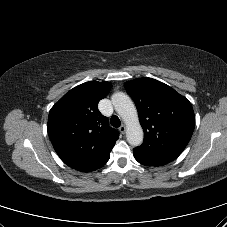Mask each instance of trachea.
Instances as JSON below:
<instances>
[{
    "label": "trachea",
    "instance_id": "obj_1",
    "mask_svg": "<svg viewBox=\"0 0 227 227\" xmlns=\"http://www.w3.org/2000/svg\"><path fill=\"white\" fill-rule=\"evenodd\" d=\"M110 122L113 127H119L121 125V121L116 115L111 117Z\"/></svg>",
    "mask_w": 227,
    "mask_h": 227
}]
</instances>
